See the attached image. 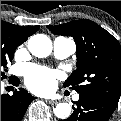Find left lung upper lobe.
Listing matches in <instances>:
<instances>
[{"mask_svg":"<svg viewBox=\"0 0 121 121\" xmlns=\"http://www.w3.org/2000/svg\"><path fill=\"white\" fill-rule=\"evenodd\" d=\"M48 29L72 36L77 45V69L64 87L101 98L116 107L121 95V47L105 29L88 19L71 21Z\"/></svg>","mask_w":121,"mask_h":121,"instance_id":"5c2ea615","label":"left lung upper lobe"}]
</instances>
